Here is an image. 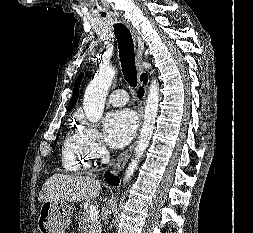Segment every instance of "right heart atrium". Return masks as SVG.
<instances>
[{
  "mask_svg": "<svg viewBox=\"0 0 253 233\" xmlns=\"http://www.w3.org/2000/svg\"><path fill=\"white\" fill-rule=\"evenodd\" d=\"M79 130L84 136L91 156L96 159L103 158L107 150L102 134L97 127L84 120H81Z\"/></svg>",
  "mask_w": 253,
  "mask_h": 233,
  "instance_id": "1",
  "label": "right heart atrium"
}]
</instances>
